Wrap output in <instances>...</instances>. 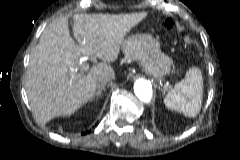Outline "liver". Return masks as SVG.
I'll return each mask as SVG.
<instances>
[{
  "label": "liver",
  "mask_w": 240,
  "mask_h": 160,
  "mask_svg": "<svg viewBox=\"0 0 240 160\" xmlns=\"http://www.w3.org/2000/svg\"><path fill=\"white\" fill-rule=\"evenodd\" d=\"M147 12L122 15H73V35L68 17L52 22L43 31L30 55L26 92L36 119L46 123L58 116H69L93 98L98 82L114 79V62L126 43V34ZM99 58L87 72L80 59ZM74 70V71H73Z\"/></svg>",
  "instance_id": "1"
}]
</instances>
